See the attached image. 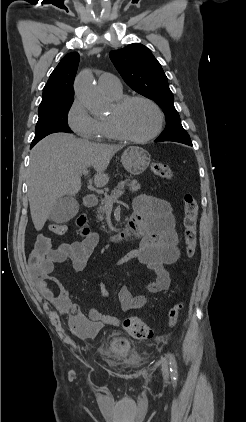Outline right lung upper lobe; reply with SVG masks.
Returning <instances> with one entry per match:
<instances>
[{
  "label": "right lung upper lobe",
  "mask_w": 246,
  "mask_h": 422,
  "mask_svg": "<svg viewBox=\"0 0 246 422\" xmlns=\"http://www.w3.org/2000/svg\"><path fill=\"white\" fill-rule=\"evenodd\" d=\"M79 63V54H67L51 73L43 88V98L39 107L58 101L74 99L73 82Z\"/></svg>",
  "instance_id": "cb5924a9"
}]
</instances>
